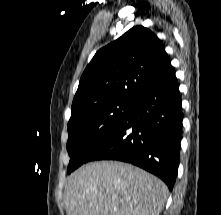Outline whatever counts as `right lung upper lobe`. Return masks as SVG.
I'll list each match as a JSON object with an SVG mask.
<instances>
[{"label": "right lung upper lobe", "instance_id": "cb5924a9", "mask_svg": "<svg viewBox=\"0 0 221 215\" xmlns=\"http://www.w3.org/2000/svg\"><path fill=\"white\" fill-rule=\"evenodd\" d=\"M175 76L160 39L134 26L101 48L84 70L72 107L106 100L134 101Z\"/></svg>", "mask_w": 221, "mask_h": 215}]
</instances>
